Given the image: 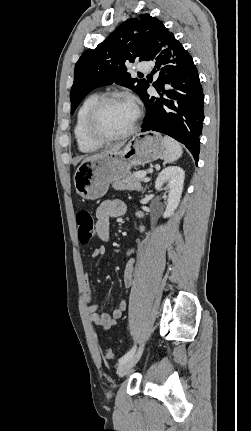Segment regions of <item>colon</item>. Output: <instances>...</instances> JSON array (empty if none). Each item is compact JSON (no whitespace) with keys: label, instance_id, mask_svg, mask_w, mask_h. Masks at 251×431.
<instances>
[{"label":"colon","instance_id":"1","mask_svg":"<svg viewBox=\"0 0 251 431\" xmlns=\"http://www.w3.org/2000/svg\"><path fill=\"white\" fill-rule=\"evenodd\" d=\"M78 227V239L81 244H88L93 238L96 230L95 221L92 213L87 209H81L76 214ZM105 357L109 360L114 359V352L111 349L105 351Z\"/></svg>","mask_w":251,"mask_h":431}]
</instances>
